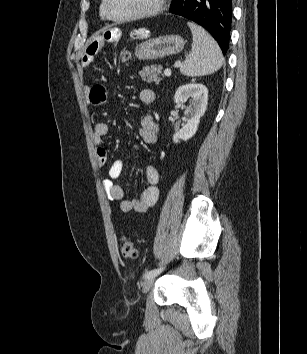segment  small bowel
<instances>
[{
  "mask_svg": "<svg viewBox=\"0 0 307 354\" xmlns=\"http://www.w3.org/2000/svg\"><path fill=\"white\" fill-rule=\"evenodd\" d=\"M121 31L118 28L106 30L101 38L95 39L87 46L82 59L81 66L83 68L91 66L94 61L95 55L102 49L104 43H113L120 39ZM85 92L89 101L93 104H100L105 100V89L103 86L96 85L93 87L86 86ZM139 99L142 104L149 105L155 100V93L150 89H145L140 92ZM108 125L104 122H98L93 129V137L96 143L97 157L100 165H105L107 162V151L103 145V139L108 134ZM140 136L142 143L145 145L156 144L159 139V128L154 117L151 114H145L141 119ZM139 148V145H135ZM124 169V162L117 159L112 162L109 168V178L104 181V188L107 197L111 201L119 202V208L124 213L147 212L158 199V182L159 171L155 165H148L145 169V178L147 187L142 191L140 197L134 200L124 198L122 187L115 183V180L121 177Z\"/></svg>",
  "mask_w": 307,
  "mask_h": 354,
  "instance_id": "1",
  "label": "small bowel"
}]
</instances>
